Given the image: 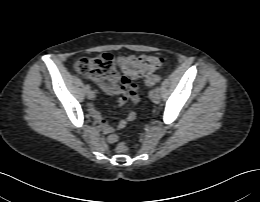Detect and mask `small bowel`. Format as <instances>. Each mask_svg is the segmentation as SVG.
Returning a JSON list of instances; mask_svg holds the SVG:
<instances>
[{
  "label": "small bowel",
  "instance_id": "small-bowel-1",
  "mask_svg": "<svg viewBox=\"0 0 260 202\" xmlns=\"http://www.w3.org/2000/svg\"><path fill=\"white\" fill-rule=\"evenodd\" d=\"M101 88L107 94L117 96V102L122 106L125 105L128 101H131L134 104L138 102L137 86L133 83H131L130 85H125L121 81L118 82V79H116L114 81L101 84ZM90 112L93 119L98 123L100 129L105 134L109 135L108 142L115 143L118 138L114 134V126L106 122L103 116L94 107L90 108ZM135 117V112H129L125 118L121 119L118 122L117 128H125L128 123L132 122L135 119Z\"/></svg>",
  "mask_w": 260,
  "mask_h": 202
}]
</instances>
